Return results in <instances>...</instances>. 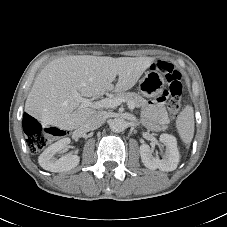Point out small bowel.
Returning <instances> with one entry per match:
<instances>
[{
	"label": "small bowel",
	"instance_id": "c3829d8e",
	"mask_svg": "<svg viewBox=\"0 0 227 227\" xmlns=\"http://www.w3.org/2000/svg\"><path fill=\"white\" fill-rule=\"evenodd\" d=\"M170 97L171 92L169 90H164L162 94L155 99V101L149 102L148 104L151 117L160 124H165L168 121L164 103H167Z\"/></svg>",
	"mask_w": 227,
	"mask_h": 227
}]
</instances>
